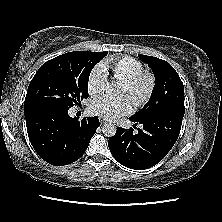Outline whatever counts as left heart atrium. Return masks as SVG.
Instances as JSON below:
<instances>
[{
  "label": "left heart atrium",
  "instance_id": "left-heart-atrium-1",
  "mask_svg": "<svg viewBox=\"0 0 222 222\" xmlns=\"http://www.w3.org/2000/svg\"><path fill=\"white\" fill-rule=\"evenodd\" d=\"M91 111L106 120H115L131 111V102L126 96L104 95L93 100Z\"/></svg>",
  "mask_w": 222,
  "mask_h": 222
}]
</instances>
